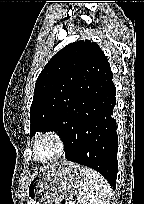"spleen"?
<instances>
[{
  "instance_id": "3e777b00",
  "label": "spleen",
  "mask_w": 144,
  "mask_h": 204,
  "mask_svg": "<svg viewBox=\"0 0 144 204\" xmlns=\"http://www.w3.org/2000/svg\"><path fill=\"white\" fill-rule=\"evenodd\" d=\"M79 204H110L111 187L108 181L97 171L83 168Z\"/></svg>"
}]
</instances>
